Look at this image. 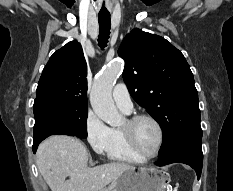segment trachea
Returning <instances> with one entry per match:
<instances>
[{"label":"trachea","mask_w":233,"mask_h":191,"mask_svg":"<svg viewBox=\"0 0 233 191\" xmlns=\"http://www.w3.org/2000/svg\"><path fill=\"white\" fill-rule=\"evenodd\" d=\"M99 36H98V45L102 49L107 46L109 35H110V26L111 19L110 14H99Z\"/></svg>","instance_id":"3493384b"}]
</instances>
